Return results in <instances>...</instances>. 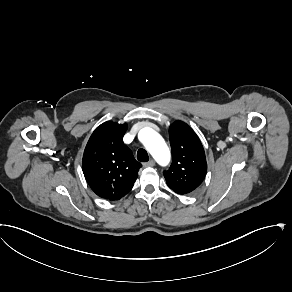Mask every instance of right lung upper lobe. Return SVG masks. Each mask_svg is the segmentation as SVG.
Instances as JSON below:
<instances>
[{
	"label": "right lung upper lobe",
	"mask_w": 292,
	"mask_h": 292,
	"mask_svg": "<svg viewBox=\"0 0 292 292\" xmlns=\"http://www.w3.org/2000/svg\"><path fill=\"white\" fill-rule=\"evenodd\" d=\"M127 124L104 122L92 133L84 150L82 170L101 198L119 200L133 187L142 166L122 139Z\"/></svg>",
	"instance_id": "right-lung-upper-lobe-1"
}]
</instances>
